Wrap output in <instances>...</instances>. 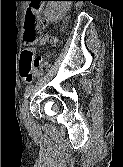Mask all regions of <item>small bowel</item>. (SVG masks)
<instances>
[{
  "label": "small bowel",
  "instance_id": "obj_1",
  "mask_svg": "<svg viewBox=\"0 0 123 167\" xmlns=\"http://www.w3.org/2000/svg\"><path fill=\"white\" fill-rule=\"evenodd\" d=\"M51 38H50V36L49 35H44L41 39H40V44H45L47 41H49ZM23 81H24V83H30L31 81H32V79L31 80H24L23 79Z\"/></svg>",
  "mask_w": 123,
  "mask_h": 167
}]
</instances>
